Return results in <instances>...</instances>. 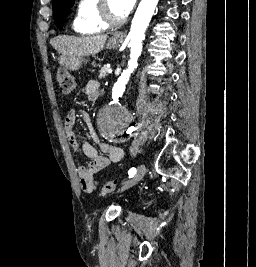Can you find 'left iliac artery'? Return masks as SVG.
Wrapping results in <instances>:
<instances>
[{
  "mask_svg": "<svg viewBox=\"0 0 256 267\" xmlns=\"http://www.w3.org/2000/svg\"><path fill=\"white\" fill-rule=\"evenodd\" d=\"M128 174H129V178L133 177L135 174H136V168H131L129 171H128Z\"/></svg>",
  "mask_w": 256,
  "mask_h": 267,
  "instance_id": "left-iliac-artery-1",
  "label": "left iliac artery"
}]
</instances>
